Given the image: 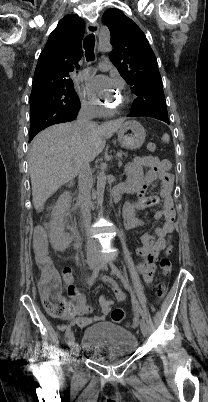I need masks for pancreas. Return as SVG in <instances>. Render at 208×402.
Here are the masks:
<instances>
[{"instance_id": "obj_1", "label": "pancreas", "mask_w": 208, "mask_h": 402, "mask_svg": "<svg viewBox=\"0 0 208 402\" xmlns=\"http://www.w3.org/2000/svg\"><path fill=\"white\" fill-rule=\"evenodd\" d=\"M118 158H122V156H125L124 152H118L117 154Z\"/></svg>"}]
</instances>
